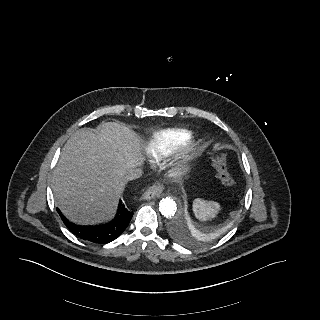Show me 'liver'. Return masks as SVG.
Listing matches in <instances>:
<instances>
[{
  "label": "liver",
  "mask_w": 320,
  "mask_h": 320,
  "mask_svg": "<svg viewBox=\"0 0 320 320\" xmlns=\"http://www.w3.org/2000/svg\"><path fill=\"white\" fill-rule=\"evenodd\" d=\"M142 162L139 139L128 127L104 122L72 135L52 177L56 204L72 222L97 224L114 213L129 169Z\"/></svg>",
  "instance_id": "6515ba94"
}]
</instances>
